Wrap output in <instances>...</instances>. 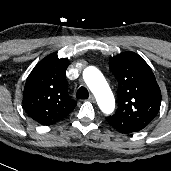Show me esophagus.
<instances>
[{
  "label": "esophagus",
  "mask_w": 171,
  "mask_h": 171,
  "mask_svg": "<svg viewBox=\"0 0 171 171\" xmlns=\"http://www.w3.org/2000/svg\"><path fill=\"white\" fill-rule=\"evenodd\" d=\"M89 100H90L91 102H95V97L91 94V95L89 96Z\"/></svg>",
  "instance_id": "1"
}]
</instances>
